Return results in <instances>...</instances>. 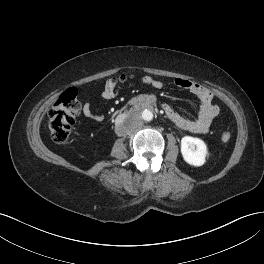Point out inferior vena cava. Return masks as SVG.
<instances>
[{"label":"inferior vena cava","mask_w":264,"mask_h":264,"mask_svg":"<svg viewBox=\"0 0 264 264\" xmlns=\"http://www.w3.org/2000/svg\"><path fill=\"white\" fill-rule=\"evenodd\" d=\"M126 123V118L123 115H118L114 119L115 126H118L120 124Z\"/></svg>","instance_id":"obj_1"}]
</instances>
